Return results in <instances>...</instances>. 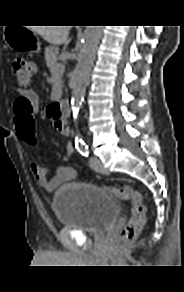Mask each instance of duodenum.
<instances>
[{"label":"duodenum","mask_w":184,"mask_h":292,"mask_svg":"<svg viewBox=\"0 0 184 292\" xmlns=\"http://www.w3.org/2000/svg\"><path fill=\"white\" fill-rule=\"evenodd\" d=\"M47 113L54 117L53 121H65L70 114L69 103L63 99L56 100L48 107Z\"/></svg>","instance_id":"obj_1"}]
</instances>
